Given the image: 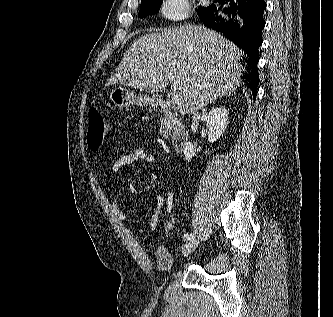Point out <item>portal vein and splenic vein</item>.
<instances>
[{
  "label": "portal vein and splenic vein",
  "mask_w": 333,
  "mask_h": 317,
  "mask_svg": "<svg viewBox=\"0 0 333 317\" xmlns=\"http://www.w3.org/2000/svg\"><path fill=\"white\" fill-rule=\"evenodd\" d=\"M172 103L173 105L180 106L182 103V98L179 94H175L172 97Z\"/></svg>",
  "instance_id": "obj_1"
}]
</instances>
